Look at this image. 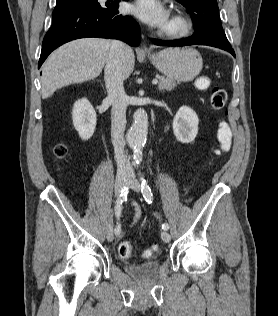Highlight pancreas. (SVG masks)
Here are the masks:
<instances>
[{"mask_svg":"<svg viewBox=\"0 0 278 316\" xmlns=\"http://www.w3.org/2000/svg\"><path fill=\"white\" fill-rule=\"evenodd\" d=\"M176 82L174 79L166 78V77H160L159 78V84L158 89L160 91H171L176 87Z\"/></svg>","mask_w":278,"mask_h":316,"instance_id":"1","label":"pancreas"}]
</instances>
